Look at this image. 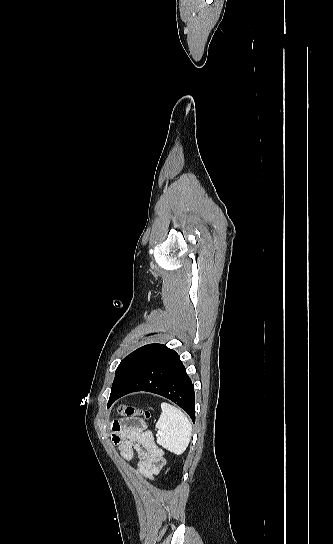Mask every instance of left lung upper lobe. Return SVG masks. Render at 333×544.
<instances>
[{
	"instance_id": "left-lung-upper-lobe-1",
	"label": "left lung upper lobe",
	"mask_w": 333,
	"mask_h": 544,
	"mask_svg": "<svg viewBox=\"0 0 333 544\" xmlns=\"http://www.w3.org/2000/svg\"><path fill=\"white\" fill-rule=\"evenodd\" d=\"M163 347V344H148L126 356L116 369L111 392L121 390L138 373L143 365Z\"/></svg>"
}]
</instances>
